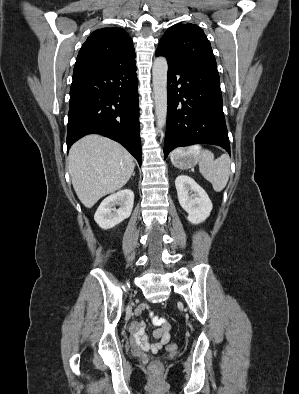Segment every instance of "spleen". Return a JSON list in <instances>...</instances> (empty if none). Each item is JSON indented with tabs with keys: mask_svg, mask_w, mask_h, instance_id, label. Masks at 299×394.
Returning <instances> with one entry per match:
<instances>
[{
	"mask_svg": "<svg viewBox=\"0 0 299 394\" xmlns=\"http://www.w3.org/2000/svg\"><path fill=\"white\" fill-rule=\"evenodd\" d=\"M199 151V170L203 177L208 180L216 192L222 191L229 180L230 157L227 154L214 159V154L208 150H200L199 146L189 148V151Z\"/></svg>",
	"mask_w": 299,
	"mask_h": 394,
	"instance_id": "3e777b00",
	"label": "spleen"
}]
</instances>
